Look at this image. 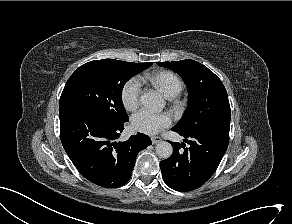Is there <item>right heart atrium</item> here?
<instances>
[{"label":"right heart atrium","instance_id":"obj_1","mask_svg":"<svg viewBox=\"0 0 292 224\" xmlns=\"http://www.w3.org/2000/svg\"><path fill=\"white\" fill-rule=\"evenodd\" d=\"M141 84L138 79H129L121 89V100L126 110L136 109L140 101Z\"/></svg>","mask_w":292,"mask_h":224}]
</instances>
